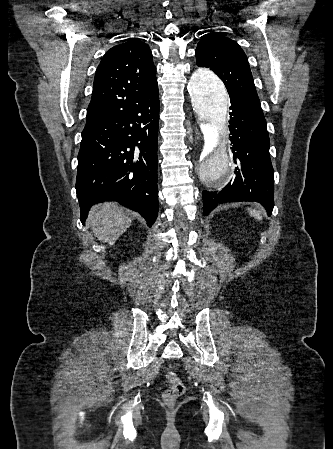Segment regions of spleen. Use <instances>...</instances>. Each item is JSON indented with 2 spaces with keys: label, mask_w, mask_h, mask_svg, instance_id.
Segmentation results:
<instances>
[{
  "label": "spleen",
  "mask_w": 333,
  "mask_h": 449,
  "mask_svg": "<svg viewBox=\"0 0 333 449\" xmlns=\"http://www.w3.org/2000/svg\"><path fill=\"white\" fill-rule=\"evenodd\" d=\"M249 213L251 216H253L254 218L261 220V215L259 214V212L255 209H250Z\"/></svg>",
  "instance_id": "obj_1"
}]
</instances>
